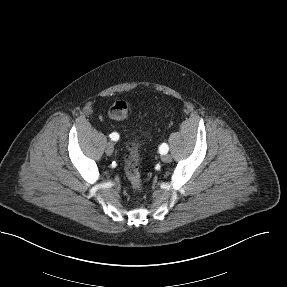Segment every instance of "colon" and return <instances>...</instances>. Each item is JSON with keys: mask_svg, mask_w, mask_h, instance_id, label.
I'll return each mask as SVG.
<instances>
[{"mask_svg": "<svg viewBox=\"0 0 287 287\" xmlns=\"http://www.w3.org/2000/svg\"><path fill=\"white\" fill-rule=\"evenodd\" d=\"M130 105L125 100H117L112 104L109 115L115 120H124L129 116ZM139 145L137 141L128 144L127 151L124 156L125 173L135 190L142 189V179L139 170Z\"/></svg>", "mask_w": 287, "mask_h": 287, "instance_id": "obj_1", "label": "colon"}]
</instances>
